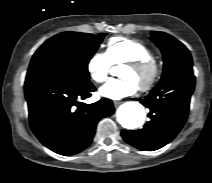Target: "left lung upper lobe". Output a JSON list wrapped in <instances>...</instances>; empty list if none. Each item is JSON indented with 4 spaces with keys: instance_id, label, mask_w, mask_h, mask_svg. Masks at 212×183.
Instances as JSON below:
<instances>
[{
    "instance_id": "1",
    "label": "left lung upper lobe",
    "mask_w": 212,
    "mask_h": 183,
    "mask_svg": "<svg viewBox=\"0 0 212 183\" xmlns=\"http://www.w3.org/2000/svg\"><path fill=\"white\" fill-rule=\"evenodd\" d=\"M151 35V40L163 53L164 69L160 82L182 69L192 67L191 54L180 41L164 32H152Z\"/></svg>"
}]
</instances>
